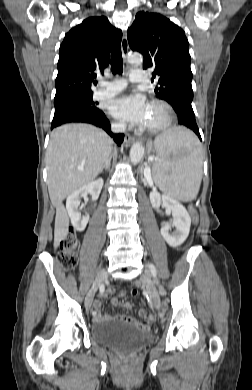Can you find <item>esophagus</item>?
Instances as JSON below:
<instances>
[{
  "label": "esophagus",
  "mask_w": 252,
  "mask_h": 390,
  "mask_svg": "<svg viewBox=\"0 0 252 390\" xmlns=\"http://www.w3.org/2000/svg\"><path fill=\"white\" fill-rule=\"evenodd\" d=\"M121 50H122L123 58L126 61L128 50H129V44H128V39H127L126 33H124L122 41H121ZM133 142H134V139L130 135H125V138H124L125 146H130Z\"/></svg>",
  "instance_id": "34e87169"
}]
</instances>
